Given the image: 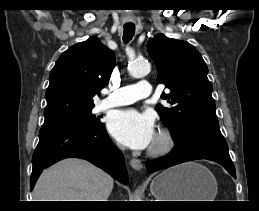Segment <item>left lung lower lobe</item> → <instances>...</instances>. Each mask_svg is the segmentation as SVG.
<instances>
[{
  "label": "left lung lower lobe",
  "mask_w": 259,
  "mask_h": 211,
  "mask_svg": "<svg viewBox=\"0 0 259 211\" xmlns=\"http://www.w3.org/2000/svg\"><path fill=\"white\" fill-rule=\"evenodd\" d=\"M198 159H208L221 164L234 178L235 167L228 152V145L222 134L197 131L181 142L175 143L173 150L164 157L145 163L149 172Z\"/></svg>",
  "instance_id": "left-lung-lower-lobe-1"
}]
</instances>
